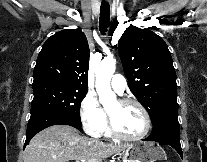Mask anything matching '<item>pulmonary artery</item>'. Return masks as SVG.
<instances>
[{
    "label": "pulmonary artery",
    "mask_w": 207,
    "mask_h": 162,
    "mask_svg": "<svg viewBox=\"0 0 207 162\" xmlns=\"http://www.w3.org/2000/svg\"><path fill=\"white\" fill-rule=\"evenodd\" d=\"M111 88L118 94L122 95L126 88V80L125 78L120 75L116 74L112 77L111 80Z\"/></svg>",
    "instance_id": "pulmonary-artery-1"
}]
</instances>
